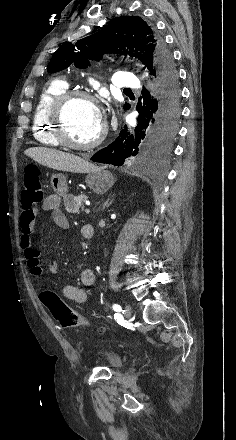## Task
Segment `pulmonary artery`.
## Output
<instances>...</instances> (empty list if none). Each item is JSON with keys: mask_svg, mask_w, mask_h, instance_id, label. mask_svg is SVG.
<instances>
[{"mask_svg": "<svg viewBox=\"0 0 236 440\" xmlns=\"http://www.w3.org/2000/svg\"><path fill=\"white\" fill-rule=\"evenodd\" d=\"M115 87L122 89H136L138 87L137 79L134 74L129 72H117L112 77Z\"/></svg>", "mask_w": 236, "mask_h": 440, "instance_id": "e3ab8cb5", "label": "pulmonary artery"}]
</instances>
